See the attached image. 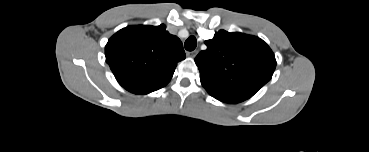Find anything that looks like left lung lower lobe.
<instances>
[{
    "label": "left lung lower lobe",
    "instance_id": "obj_1",
    "mask_svg": "<svg viewBox=\"0 0 369 152\" xmlns=\"http://www.w3.org/2000/svg\"><path fill=\"white\" fill-rule=\"evenodd\" d=\"M213 97L216 98L217 100L225 102V103H239V102H242V100H240V99L227 97V96H213Z\"/></svg>",
    "mask_w": 369,
    "mask_h": 152
}]
</instances>
